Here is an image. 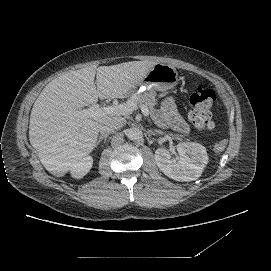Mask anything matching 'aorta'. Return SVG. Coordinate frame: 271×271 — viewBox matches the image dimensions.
I'll return each instance as SVG.
<instances>
[{
    "label": "aorta",
    "instance_id": "1",
    "mask_svg": "<svg viewBox=\"0 0 271 271\" xmlns=\"http://www.w3.org/2000/svg\"><path fill=\"white\" fill-rule=\"evenodd\" d=\"M126 135L129 140L131 141H137L142 138V131L141 129L135 127V128H129L126 131Z\"/></svg>",
    "mask_w": 271,
    "mask_h": 271
}]
</instances>
